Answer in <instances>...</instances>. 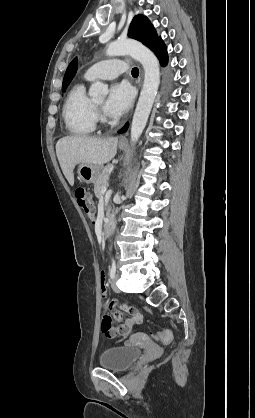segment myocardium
I'll return each mask as SVG.
<instances>
[{
	"instance_id": "1",
	"label": "myocardium",
	"mask_w": 255,
	"mask_h": 418,
	"mask_svg": "<svg viewBox=\"0 0 255 418\" xmlns=\"http://www.w3.org/2000/svg\"><path fill=\"white\" fill-rule=\"evenodd\" d=\"M94 107H95V110H97V109H98V106H97V105H95V104H94Z\"/></svg>"
}]
</instances>
